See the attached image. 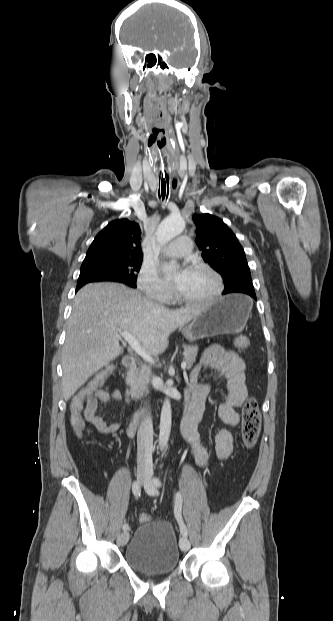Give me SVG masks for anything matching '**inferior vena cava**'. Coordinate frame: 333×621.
<instances>
[{"instance_id": "602c4592", "label": "inferior vena cava", "mask_w": 333, "mask_h": 621, "mask_svg": "<svg viewBox=\"0 0 333 621\" xmlns=\"http://www.w3.org/2000/svg\"><path fill=\"white\" fill-rule=\"evenodd\" d=\"M153 425L150 416H147L139 425L137 432V461L139 464L152 465Z\"/></svg>"}]
</instances>
